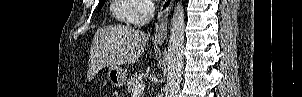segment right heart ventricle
Returning a JSON list of instances; mask_svg holds the SVG:
<instances>
[{
    "label": "right heart ventricle",
    "mask_w": 302,
    "mask_h": 97,
    "mask_svg": "<svg viewBox=\"0 0 302 97\" xmlns=\"http://www.w3.org/2000/svg\"><path fill=\"white\" fill-rule=\"evenodd\" d=\"M136 6L134 0H113L110 10L112 16L118 23L133 25V16Z\"/></svg>",
    "instance_id": "right-heart-ventricle-1"
}]
</instances>
